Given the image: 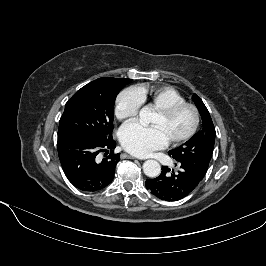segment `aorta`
Listing matches in <instances>:
<instances>
[{
    "instance_id": "1",
    "label": "aorta",
    "mask_w": 266,
    "mask_h": 266,
    "mask_svg": "<svg viewBox=\"0 0 266 266\" xmlns=\"http://www.w3.org/2000/svg\"><path fill=\"white\" fill-rule=\"evenodd\" d=\"M140 121L142 123H149L151 121L152 112L148 106L143 107L140 112ZM143 172L146 176L155 178L161 173V166L156 160H147L143 164Z\"/></svg>"
}]
</instances>
